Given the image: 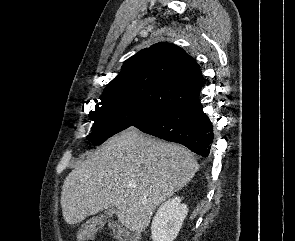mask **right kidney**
Returning a JSON list of instances; mask_svg holds the SVG:
<instances>
[{
	"label": "right kidney",
	"mask_w": 295,
	"mask_h": 241,
	"mask_svg": "<svg viewBox=\"0 0 295 241\" xmlns=\"http://www.w3.org/2000/svg\"><path fill=\"white\" fill-rule=\"evenodd\" d=\"M180 197L164 202L152 220L151 233L153 241H173L188 213V208L181 203Z\"/></svg>",
	"instance_id": "right-kidney-1"
}]
</instances>
